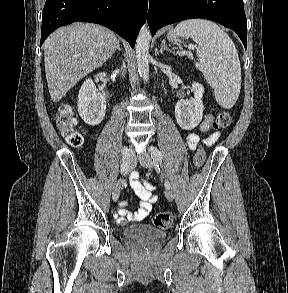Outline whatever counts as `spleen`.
Listing matches in <instances>:
<instances>
[{
	"instance_id": "obj_1",
	"label": "spleen",
	"mask_w": 288,
	"mask_h": 293,
	"mask_svg": "<svg viewBox=\"0 0 288 293\" xmlns=\"http://www.w3.org/2000/svg\"><path fill=\"white\" fill-rule=\"evenodd\" d=\"M177 35H188L198 45L195 65L212 87L217 102L231 108L241 89V65L232 39L217 24L190 19L175 27Z\"/></svg>"
}]
</instances>
